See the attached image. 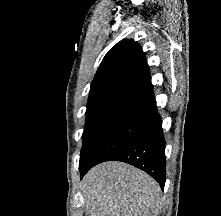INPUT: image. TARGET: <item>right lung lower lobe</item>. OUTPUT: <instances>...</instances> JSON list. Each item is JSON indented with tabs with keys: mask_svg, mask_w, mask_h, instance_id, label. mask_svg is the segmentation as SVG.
Returning <instances> with one entry per match:
<instances>
[{
	"mask_svg": "<svg viewBox=\"0 0 221 216\" xmlns=\"http://www.w3.org/2000/svg\"><path fill=\"white\" fill-rule=\"evenodd\" d=\"M105 161H122L144 170L163 190L166 178L165 141L157 110L150 115L146 129L136 139L115 151ZM94 165L80 166L81 178Z\"/></svg>",
	"mask_w": 221,
	"mask_h": 216,
	"instance_id": "1",
	"label": "right lung lower lobe"
}]
</instances>
